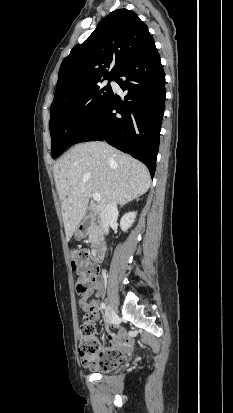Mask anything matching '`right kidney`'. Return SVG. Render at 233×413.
I'll return each mask as SVG.
<instances>
[{"label": "right kidney", "mask_w": 233, "mask_h": 413, "mask_svg": "<svg viewBox=\"0 0 233 413\" xmlns=\"http://www.w3.org/2000/svg\"><path fill=\"white\" fill-rule=\"evenodd\" d=\"M137 213L136 212H128L124 214L120 220V227L121 229L126 232L128 228L132 226L135 221Z\"/></svg>", "instance_id": "ca27d5eb"}]
</instances>
